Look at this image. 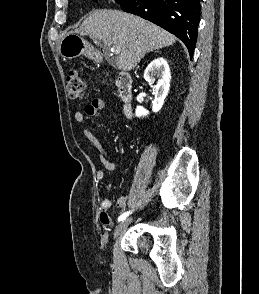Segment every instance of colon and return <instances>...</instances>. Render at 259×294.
<instances>
[{"instance_id":"colon-1","label":"colon","mask_w":259,"mask_h":294,"mask_svg":"<svg viewBox=\"0 0 259 294\" xmlns=\"http://www.w3.org/2000/svg\"><path fill=\"white\" fill-rule=\"evenodd\" d=\"M66 88L70 98H81L85 92V82L81 73L76 69H71L66 75Z\"/></svg>"}]
</instances>
